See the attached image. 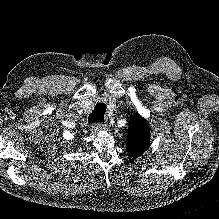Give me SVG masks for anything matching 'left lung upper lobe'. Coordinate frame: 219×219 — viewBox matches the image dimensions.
Here are the masks:
<instances>
[{
    "instance_id": "obj_1",
    "label": "left lung upper lobe",
    "mask_w": 219,
    "mask_h": 219,
    "mask_svg": "<svg viewBox=\"0 0 219 219\" xmlns=\"http://www.w3.org/2000/svg\"><path fill=\"white\" fill-rule=\"evenodd\" d=\"M129 123L126 149L130 156L137 158L149 147V127L147 121L137 115H134Z\"/></svg>"
}]
</instances>
